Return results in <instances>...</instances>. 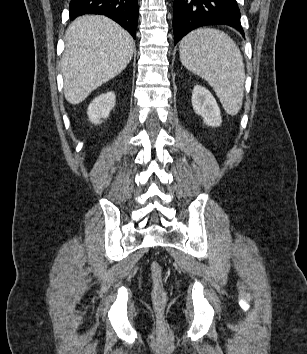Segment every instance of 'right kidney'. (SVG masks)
<instances>
[{
    "label": "right kidney",
    "instance_id": "ca27d5eb",
    "mask_svg": "<svg viewBox=\"0 0 307 354\" xmlns=\"http://www.w3.org/2000/svg\"><path fill=\"white\" fill-rule=\"evenodd\" d=\"M116 96L114 92H107L96 97L89 105L87 114L94 124H100L101 119H106L115 106Z\"/></svg>",
    "mask_w": 307,
    "mask_h": 354
}]
</instances>
